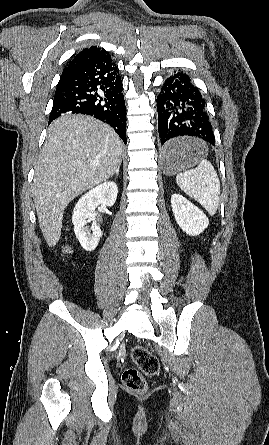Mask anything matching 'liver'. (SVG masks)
<instances>
[{
    "label": "liver",
    "mask_w": 269,
    "mask_h": 445,
    "mask_svg": "<svg viewBox=\"0 0 269 445\" xmlns=\"http://www.w3.org/2000/svg\"><path fill=\"white\" fill-rule=\"evenodd\" d=\"M122 147L109 125L90 116L64 115L49 126L33 181L39 226L49 247L59 241L67 205L112 176Z\"/></svg>",
    "instance_id": "liver-1"
}]
</instances>
